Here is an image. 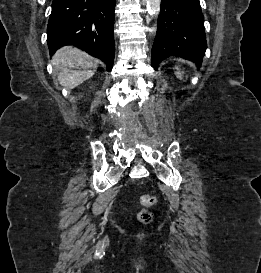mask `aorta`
<instances>
[{"instance_id": "aorta-1", "label": "aorta", "mask_w": 261, "mask_h": 273, "mask_svg": "<svg viewBox=\"0 0 261 273\" xmlns=\"http://www.w3.org/2000/svg\"><path fill=\"white\" fill-rule=\"evenodd\" d=\"M161 0H147V10L151 16H157L160 12Z\"/></svg>"}]
</instances>
